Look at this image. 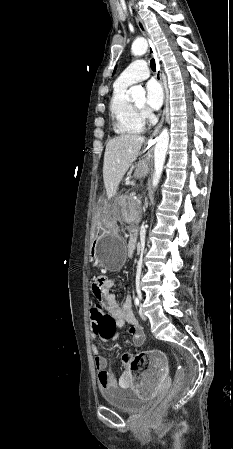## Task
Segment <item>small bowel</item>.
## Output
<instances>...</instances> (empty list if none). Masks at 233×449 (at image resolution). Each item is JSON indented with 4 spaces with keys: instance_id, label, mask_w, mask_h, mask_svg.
Segmentation results:
<instances>
[{
    "instance_id": "1",
    "label": "small bowel",
    "mask_w": 233,
    "mask_h": 449,
    "mask_svg": "<svg viewBox=\"0 0 233 449\" xmlns=\"http://www.w3.org/2000/svg\"><path fill=\"white\" fill-rule=\"evenodd\" d=\"M115 285L111 274H96L90 284L92 294L96 301L101 302L107 307V314L114 320L115 327H122L126 323L129 325L128 332L135 346H142L145 342V332L137 322L132 311V298L126 295L123 302L120 303L117 296L112 292ZM91 336L93 339L98 334H93L91 328ZM117 338H111L115 341ZM104 340V339H103ZM91 350L94 354V363L98 372V383L101 389H109L114 387L118 382L121 384H130V389L135 390L139 399H156L157 394H161L164 378L168 376V364L166 355L161 354L160 347H149L148 368H144L143 375H129L126 371L117 380L115 375L107 370V359L100 352L96 343H92ZM131 356L130 353L124 357Z\"/></svg>"
}]
</instances>
